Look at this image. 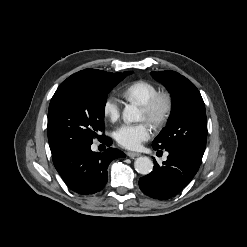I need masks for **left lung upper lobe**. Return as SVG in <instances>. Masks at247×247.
<instances>
[{
	"label": "left lung upper lobe",
	"instance_id": "left-lung-upper-lobe-1",
	"mask_svg": "<svg viewBox=\"0 0 247 247\" xmlns=\"http://www.w3.org/2000/svg\"><path fill=\"white\" fill-rule=\"evenodd\" d=\"M171 93L172 109L167 126L154 139L158 149L187 150L203 155L207 139L204 101L195 85L174 71L151 72Z\"/></svg>",
	"mask_w": 247,
	"mask_h": 247
}]
</instances>
